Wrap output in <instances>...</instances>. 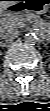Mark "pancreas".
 <instances>
[{"label": "pancreas", "mask_w": 50, "mask_h": 111, "mask_svg": "<svg viewBox=\"0 0 50 111\" xmlns=\"http://www.w3.org/2000/svg\"><path fill=\"white\" fill-rule=\"evenodd\" d=\"M25 22H34L36 27L44 30L45 23L35 14L10 16L3 21L2 26L4 29H18L24 27Z\"/></svg>", "instance_id": "pancreas-1"}]
</instances>
